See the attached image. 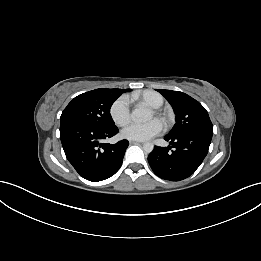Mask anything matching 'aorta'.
Returning <instances> with one entry per match:
<instances>
[{
    "label": "aorta",
    "instance_id": "762f6f07",
    "mask_svg": "<svg viewBox=\"0 0 261 261\" xmlns=\"http://www.w3.org/2000/svg\"><path fill=\"white\" fill-rule=\"evenodd\" d=\"M131 117L136 122H144L150 119L151 112L143 107H136L131 114ZM154 149V145L150 142L143 144V150L146 153H151Z\"/></svg>",
    "mask_w": 261,
    "mask_h": 261
}]
</instances>
